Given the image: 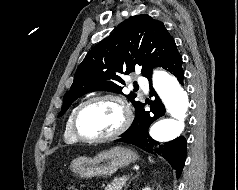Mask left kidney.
<instances>
[{
    "label": "left kidney",
    "instance_id": "5707ae66",
    "mask_svg": "<svg viewBox=\"0 0 238 190\" xmlns=\"http://www.w3.org/2000/svg\"><path fill=\"white\" fill-rule=\"evenodd\" d=\"M142 190H151V188H149V187H146V188H144V189H142Z\"/></svg>",
    "mask_w": 238,
    "mask_h": 190
}]
</instances>
